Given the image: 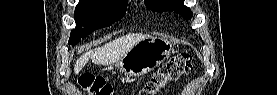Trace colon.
<instances>
[{"mask_svg": "<svg viewBox=\"0 0 277 95\" xmlns=\"http://www.w3.org/2000/svg\"><path fill=\"white\" fill-rule=\"evenodd\" d=\"M192 71V58L188 53H181L172 57L168 62L147 81L145 87L141 90L140 95H155L171 81L178 79L180 76L189 74ZM80 85L87 89L91 94L111 95L112 86L94 76H87L80 80Z\"/></svg>", "mask_w": 277, "mask_h": 95, "instance_id": "1", "label": "colon"}]
</instances>
